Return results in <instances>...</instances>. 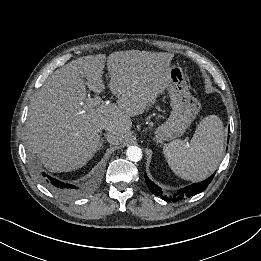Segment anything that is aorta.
Here are the masks:
<instances>
[{
	"label": "aorta",
	"instance_id": "762f6f07",
	"mask_svg": "<svg viewBox=\"0 0 261 261\" xmlns=\"http://www.w3.org/2000/svg\"><path fill=\"white\" fill-rule=\"evenodd\" d=\"M126 155L130 161L138 162L142 158V150L137 146H130L126 150Z\"/></svg>",
	"mask_w": 261,
	"mask_h": 261
}]
</instances>
